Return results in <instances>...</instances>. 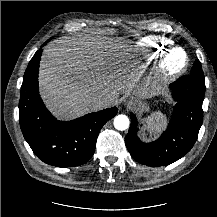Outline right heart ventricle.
I'll return each instance as SVG.
<instances>
[{
	"mask_svg": "<svg viewBox=\"0 0 217 217\" xmlns=\"http://www.w3.org/2000/svg\"><path fill=\"white\" fill-rule=\"evenodd\" d=\"M141 49L151 53L153 57L160 56L170 46V42L163 37L152 36L141 41Z\"/></svg>",
	"mask_w": 217,
	"mask_h": 217,
	"instance_id": "1",
	"label": "right heart ventricle"
}]
</instances>
